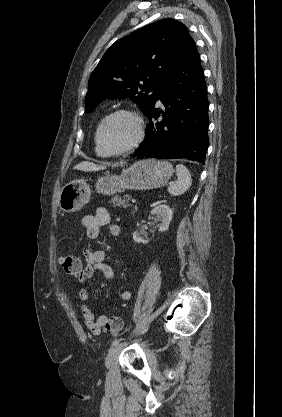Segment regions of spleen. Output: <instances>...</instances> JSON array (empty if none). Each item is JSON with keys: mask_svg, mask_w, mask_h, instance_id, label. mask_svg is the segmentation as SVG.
Returning <instances> with one entry per match:
<instances>
[{"mask_svg": "<svg viewBox=\"0 0 282 417\" xmlns=\"http://www.w3.org/2000/svg\"><path fill=\"white\" fill-rule=\"evenodd\" d=\"M176 174L178 180H176V182H170L168 186V192L173 194V196L183 194L185 190L190 188L192 182L191 174L184 164H176Z\"/></svg>", "mask_w": 282, "mask_h": 417, "instance_id": "obj_1", "label": "spleen"}]
</instances>
